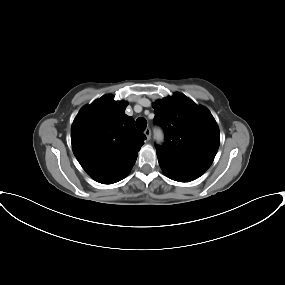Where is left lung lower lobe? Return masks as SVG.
I'll list each match as a JSON object with an SVG mask.
<instances>
[{"mask_svg":"<svg viewBox=\"0 0 285 285\" xmlns=\"http://www.w3.org/2000/svg\"><path fill=\"white\" fill-rule=\"evenodd\" d=\"M159 164L163 172L171 179L179 182H189L200 177L205 171L184 164L173 162L162 155H158Z\"/></svg>","mask_w":285,"mask_h":285,"instance_id":"obj_1","label":"left lung lower lobe"}]
</instances>
